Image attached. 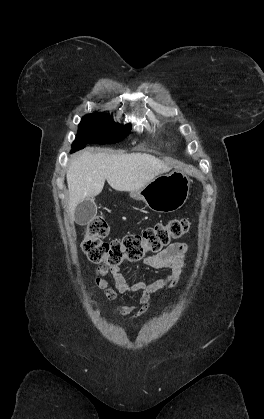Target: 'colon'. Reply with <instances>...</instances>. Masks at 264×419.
Wrapping results in <instances>:
<instances>
[{
  "label": "colon",
  "instance_id": "colon-1",
  "mask_svg": "<svg viewBox=\"0 0 264 419\" xmlns=\"http://www.w3.org/2000/svg\"><path fill=\"white\" fill-rule=\"evenodd\" d=\"M188 228L187 219L174 218L148 227L141 234L107 242L103 240L109 231L107 220L104 216H97L87 226L82 250L91 262L118 268L124 262L140 261L147 253L160 252L171 240L182 237Z\"/></svg>",
  "mask_w": 264,
  "mask_h": 419
}]
</instances>
